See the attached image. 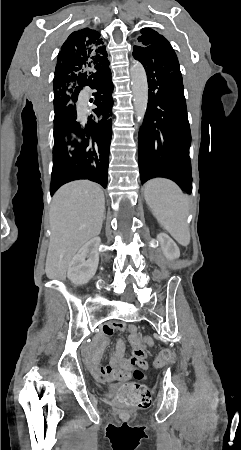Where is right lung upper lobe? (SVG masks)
<instances>
[{
    "mask_svg": "<svg viewBox=\"0 0 241 450\" xmlns=\"http://www.w3.org/2000/svg\"><path fill=\"white\" fill-rule=\"evenodd\" d=\"M107 52L100 33L84 28L73 32L58 54L53 80L54 101L67 98L72 92L70 78L107 64Z\"/></svg>",
    "mask_w": 241,
    "mask_h": 450,
    "instance_id": "1",
    "label": "right lung upper lobe"
}]
</instances>
